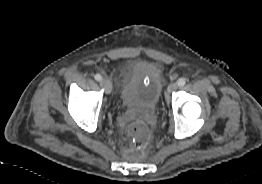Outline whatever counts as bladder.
<instances>
[{"label": "bladder", "instance_id": "1", "mask_svg": "<svg viewBox=\"0 0 262 184\" xmlns=\"http://www.w3.org/2000/svg\"><path fill=\"white\" fill-rule=\"evenodd\" d=\"M163 72H152L147 65L130 71L120 91V101L127 112L144 113L155 108L163 91Z\"/></svg>", "mask_w": 262, "mask_h": 184}]
</instances>
